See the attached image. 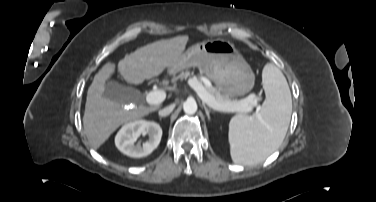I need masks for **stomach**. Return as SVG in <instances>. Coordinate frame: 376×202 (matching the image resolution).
<instances>
[{
	"instance_id": "1",
	"label": "stomach",
	"mask_w": 376,
	"mask_h": 202,
	"mask_svg": "<svg viewBox=\"0 0 376 202\" xmlns=\"http://www.w3.org/2000/svg\"><path fill=\"white\" fill-rule=\"evenodd\" d=\"M198 67L227 96H240L254 85V74L236 47L227 40L214 39L197 43L188 48L168 73H177Z\"/></svg>"
}]
</instances>
